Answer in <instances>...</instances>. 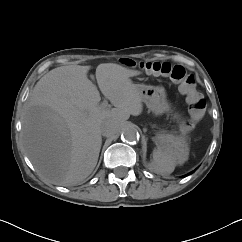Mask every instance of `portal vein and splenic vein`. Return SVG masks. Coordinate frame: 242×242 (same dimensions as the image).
Masks as SVG:
<instances>
[{"instance_id":"obj_1","label":"portal vein and splenic vein","mask_w":242,"mask_h":242,"mask_svg":"<svg viewBox=\"0 0 242 242\" xmlns=\"http://www.w3.org/2000/svg\"><path fill=\"white\" fill-rule=\"evenodd\" d=\"M107 106H108V102L106 100H104L100 105L101 108H106Z\"/></svg>"}]
</instances>
